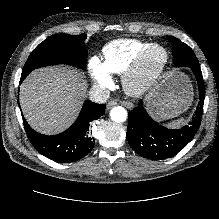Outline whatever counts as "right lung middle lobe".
<instances>
[{"label":"right lung middle lobe","instance_id":"dd1d6c3e","mask_svg":"<svg viewBox=\"0 0 219 219\" xmlns=\"http://www.w3.org/2000/svg\"><path fill=\"white\" fill-rule=\"evenodd\" d=\"M86 35L56 34L40 43L30 54L22 70V80L34 69L69 64L81 69L87 63Z\"/></svg>","mask_w":219,"mask_h":219}]
</instances>
